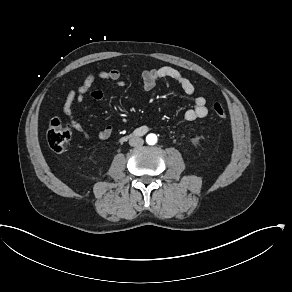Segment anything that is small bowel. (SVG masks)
Here are the masks:
<instances>
[{
	"mask_svg": "<svg viewBox=\"0 0 292 292\" xmlns=\"http://www.w3.org/2000/svg\"><path fill=\"white\" fill-rule=\"evenodd\" d=\"M120 78L121 72L117 68L101 70L85 75L82 84L78 89L68 91L63 102L62 111L68 119L69 125L76 133L86 139L91 138V134L86 130L83 124L74 117V105L87 94H89L90 98L94 100H101L103 98V92L101 90H92V86L97 79L114 82L118 87H122L124 83ZM163 79H171L175 81L186 95H193L195 93L194 83L179 70L170 66L144 70L142 72L143 89L147 92L152 91L155 88L156 83ZM207 114L208 109L205 97L197 96L194 99L193 106L184 113V119L186 121H194L206 117ZM112 134L113 127L106 126L98 132V138L105 141L108 140Z\"/></svg>",
	"mask_w": 292,
	"mask_h": 292,
	"instance_id": "obj_1",
	"label": "small bowel"
}]
</instances>
